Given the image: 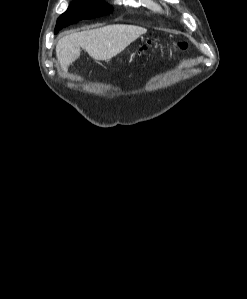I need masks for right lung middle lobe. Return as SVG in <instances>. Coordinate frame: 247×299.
I'll return each mask as SVG.
<instances>
[{
    "label": "right lung middle lobe",
    "instance_id": "1",
    "mask_svg": "<svg viewBox=\"0 0 247 299\" xmlns=\"http://www.w3.org/2000/svg\"><path fill=\"white\" fill-rule=\"evenodd\" d=\"M112 11L113 8L103 0H73L67 11L58 18L55 34L65 26L83 19H92L107 15Z\"/></svg>",
    "mask_w": 247,
    "mask_h": 299
}]
</instances>
